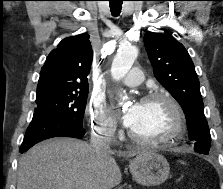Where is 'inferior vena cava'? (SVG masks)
Instances as JSON below:
<instances>
[{"mask_svg": "<svg viewBox=\"0 0 223 189\" xmlns=\"http://www.w3.org/2000/svg\"><path fill=\"white\" fill-rule=\"evenodd\" d=\"M113 130L97 128L96 132L91 133L90 144L96 153L106 152L110 149L111 137Z\"/></svg>", "mask_w": 223, "mask_h": 189, "instance_id": "inferior-vena-cava-1", "label": "inferior vena cava"}]
</instances>
